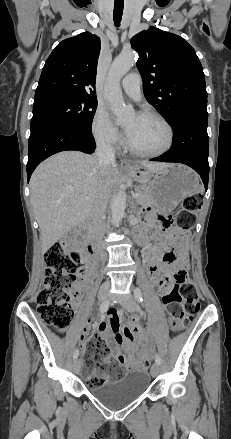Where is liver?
<instances>
[{
    "label": "liver",
    "mask_w": 231,
    "mask_h": 439,
    "mask_svg": "<svg viewBox=\"0 0 231 439\" xmlns=\"http://www.w3.org/2000/svg\"><path fill=\"white\" fill-rule=\"evenodd\" d=\"M155 173L170 164L140 162ZM120 170L102 171L98 158L79 151L57 153L42 162L30 179V199L40 228L42 253L89 216L101 185L111 192Z\"/></svg>",
    "instance_id": "6515ba94"
}]
</instances>
